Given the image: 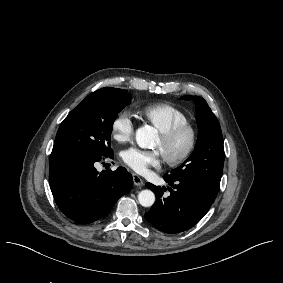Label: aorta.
<instances>
[{"label":"aorta","mask_w":283,"mask_h":283,"mask_svg":"<svg viewBox=\"0 0 283 283\" xmlns=\"http://www.w3.org/2000/svg\"><path fill=\"white\" fill-rule=\"evenodd\" d=\"M157 130L146 125L136 130V142L141 148H153L157 139ZM138 201L143 207H151L155 203V194L151 190H142L138 194Z\"/></svg>","instance_id":"obj_1"}]
</instances>
